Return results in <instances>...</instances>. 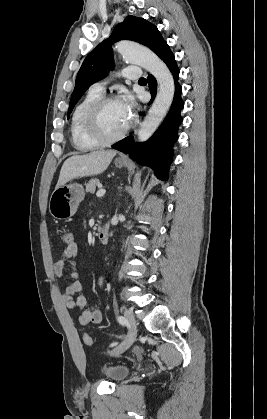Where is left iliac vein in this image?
Wrapping results in <instances>:
<instances>
[{
	"instance_id": "4c4485c4",
	"label": "left iliac vein",
	"mask_w": 267,
	"mask_h": 419,
	"mask_svg": "<svg viewBox=\"0 0 267 419\" xmlns=\"http://www.w3.org/2000/svg\"><path fill=\"white\" fill-rule=\"evenodd\" d=\"M124 317L127 320V323L129 325V328H130V332H129V335H128L127 339L121 345H119L118 347H116L115 349L110 351L111 356L120 355L125 350H127L135 340V337H136V334H137V324H136L134 314L131 310H125Z\"/></svg>"
}]
</instances>
